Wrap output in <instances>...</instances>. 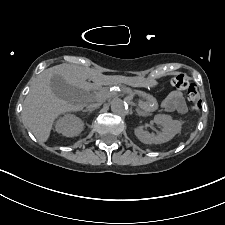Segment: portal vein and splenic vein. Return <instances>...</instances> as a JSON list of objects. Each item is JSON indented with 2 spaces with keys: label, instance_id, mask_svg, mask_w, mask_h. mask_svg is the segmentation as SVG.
I'll return each instance as SVG.
<instances>
[{
  "label": "portal vein and splenic vein",
  "instance_id": "portal-vein-and-splenic-vein-1",
  "mask_svg": "<svg viewBox=\"0 0 225 225\" xmlns=\"http://www.w3.org/2000/svg\"><path fill=\"white\" fill-rule=\"evenodd\" d=\"M139 107H141V102L139 101Z\"/></svg>",
  "mask_w": 225,
  "mask_h": 225
}]
</instances>
